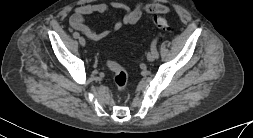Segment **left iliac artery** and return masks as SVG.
<instances>
[{
  "instance_id": "left-iliac-artery-1",
  "label": "left iliac artery",
  "mask_w": 253,
  "mask_h": 138,
  "mask_svg": "<svg viewBox=\"0 0 253 138\" xmlns=\"http://www.w3.org/2000/svg\"><path fill=\"white\" fill-rule=\"evenodd\" d=\"M157 42H158V39L155 38L152 43H151V49H155L156 50V58H158V52H157V49H156V45H157Z\"/></svg>"
}]
</instances>
